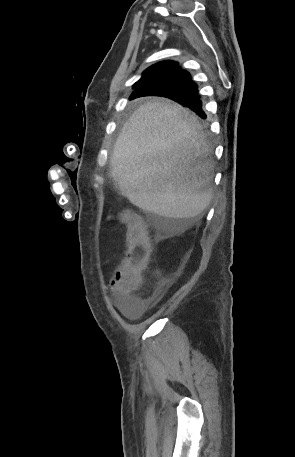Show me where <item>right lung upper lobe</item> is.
<instances>
[{
	"label": "right lung upper lobe",
	"instance_id": "cb5924a9",
	"mask_svg": "<svg viewBox=\"0 0 295 457\" xmlns=\"http://www.w3.org/2000/svg\"><path fill=\"white\" fill-rule=\"evenodd\" d=\"M177 62L163 61L152 65L143 72V76L138 80L133 88L141 89L150 85L160 84L175 79L182 72ZM135 90V91H136Z\"/></svg>",
	"mask_w": 295,
	"mask_h": 457
}]
</instances>
